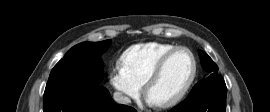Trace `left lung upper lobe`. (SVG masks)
Returning a JSON list of instances; mask_svg holds the SVG:
<instances>
[{
  "mask_svg": "<svg viewBox=\"0 0 270 112\" xmlns=\"http://www.w3.org/2000/svg\"><path fill=\"white\" fill-rule=\"evenodd\" d=\"M199 57L201 59L202 67L205 71L210 73V76L207 78H203L201 81H199L192 89L189 95L197 93L199 90H201L204 86H206L208 83L214 81L217 78H222L218 74V67L217 65L212 61V59L203 51H199Z\"/></svg>",
  "mask_w": 270,
  "mask_h": 112,
  "instance_id": "obj_1",
  "label": "left lung upper lobe"
}]
</instances>
